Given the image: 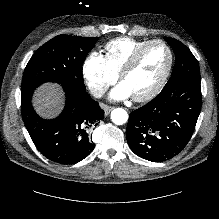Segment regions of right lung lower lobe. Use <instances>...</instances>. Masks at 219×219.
Segmentation results:
<instances>
[{"label": "right lung lower lobe", "instance_id": "1", "mask_svg": "<svg viewBox=\"0 0 219 219\" xmlns=\"http://www.w3.org/2000/svg\"><path fill=\"white\" fill-rule=\"evenodd\" d=\"M66 103L55 119L39 117L31 104L32 93L21 95V111L25 126L37 149L48 159L62 163H76L94 149L89 130L104 118L98 102L91 99L86 89L63 86Z\"/></svg>", "mask_w": 219, "mask_h": 219}]
</instances>
